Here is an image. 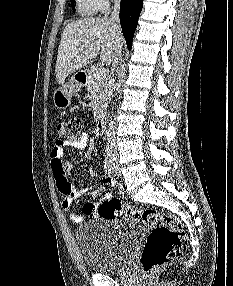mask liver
<instances>
[{
    "mask_svg": "<svg viewBox=\"0 0 233 286\" xmlns=\"http://www.w3.org/2000/svg\"><path fill=\"white\" fill-rule=\"evenodd\" d=\"M121 28L107 17L85 18L66 25L56 60V80L63 84L71 73L82 69L100 54L110 65L117 56L118 46H123Z\"/></svg>",
    "mask_w": 233,
    "mask_h": 286,
    "instance_id": "liver-1",
    "label": "liver"
}]
</instances>
